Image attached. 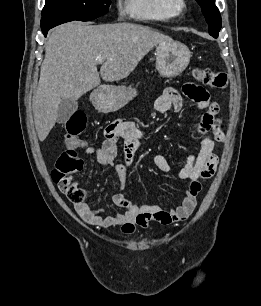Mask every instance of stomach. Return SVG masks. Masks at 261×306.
I'll return each instance as SVG.
<instances>
[{
  "mask_svg": "<svg viewBox=\"0 0 261 306\" xmlns=\"http://www.w3.org/2000/svg\"><path fill=\"white\" fill-rule=\"evenodd\" d=\"M191 53L178 41L159 43L156 49V69L163 77H176L188 66ZM137 95L134 88L124 86H108L104 90L95 91L91 100L100 111L112 112L125 106Z\"/></svg>",
  "mask_w": 261,
  "mask_h": 306,
  "instance_id": "stomach-1",
  "label": "stomach"
}]
</instances>
